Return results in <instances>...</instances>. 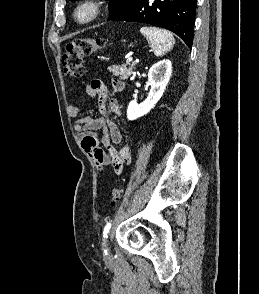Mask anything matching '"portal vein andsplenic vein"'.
Masks as SVG:
<instances>
[{
  "instance_id": "portal-vein-and-splenic-vein-1",
  "label": "portal vein and splenic vein",
  "mask_w": 259,
  "mask_h": 294,
  "mask_svg": "<svg viewBox=\"0 0 259 294\" xmlns=\"http://www.w3.org/2000/svg\"><path fill=\"white\" fill-rule=\"evenodd\" d=\"M132 60H133V58H132V57H129V58L127 59V62L130 63V62H132Z\"/></svg>"
}]
</instances>
